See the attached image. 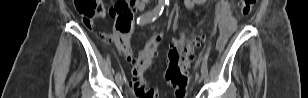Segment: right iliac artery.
I'll use <instances>...</instances> for the list:
<instances>
[{"instance_id": "1", "label": "right iliac artery", "mask_w": 308, "mask_h": 98, "mask_svg": "<svg viewBox=\"0 0 308 98\" xmlns=\"http://www.w3.org/2000/svg\"><path fill=\"white\" fill-rule=\"evenodd\" d=\"M163 9L164 5L162 3H159L153 10L138 17L137 24L144 25L153 22L162 14ZM119 76L120 73H117L115 78H118Z\"/></svg>"}]
</instances>
